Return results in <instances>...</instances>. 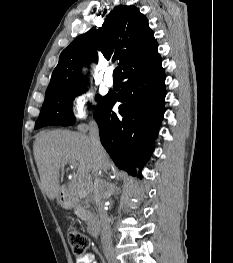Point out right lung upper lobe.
<instances>
[{
  "mask_svg": "<svg viewBox=\"0 0 233 263\" xmlns=\"http://www.w3.org/2000/svg\"><path fill=\"white\" fill-rule=\"evenodd\" d=\"M97 50L108 60L119 59L123 76L161 61L147 18L135 6H119L106 17L102 27L80 35L62 51L45 97L84 87L81 67L98 57Z\"/></svg>",
  "mask_w": 233,
  "mask_h": 263,
  "instance_id": "obj_1",
  "label": "right lung upper lobe"
}]
</instances>
